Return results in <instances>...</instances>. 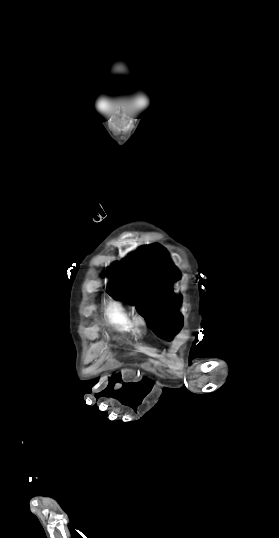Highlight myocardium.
<instances>
[{
    "label": "myocardium",
    "instance_id": "myocardium-1",
    "mask_svg": "<svg viewBox=\"0 0 279 538\" xmlns=\"http://www.w3.org/2000/svg\"><path fill=\"white\" fill-rule=\"evenodd\" d=\"M144 320L140 317H136L132 320V329L136 333H140L144 326Z\"/></svg>",
    "mask_w": 279,
    "mask_h": 538
}]
</instances>
